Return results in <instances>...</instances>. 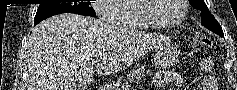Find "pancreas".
I'll return each mask as SVG.
<instances>
[{
	"instance_id": "pancreas-1",
	"label": "pancreas",
	"mask_w": 237,
	"mask_h": 90,
	"mask_svg": "<svg viewBox=\"0 0 237 90\" xmlns=\"http://www.w3.org/2000/svg\"><path fill=\"white\" fill-rule=\"evenodd\" d=\"M144 72H145L144 68H138V70H134V72H130V74H128L124 82H126V84H132V82H139L142 76H144Z\"/></svg>"
}]
</instances>
